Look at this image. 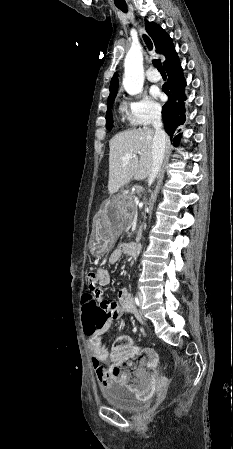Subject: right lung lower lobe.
<instances>
[{
	"label": "right lung lower lobe",
	"instance_id": "right-lung-lower-lobe-1",
	"mask_svg": "<svg viewBox=\"0 0 233 449\" xmlns=\"http://www.w3.org/2000/svg\"><path fill=\"white\" fill-rule=\"evenodd\" d=\"M165 69L168 80L163 90L168 95L169 100L162 108V118L165 131L170 135L171 140L173 139L174 145H177L180 141L181 133L174 137L173 135L186 120L184 103L186 100L184 95L186 81L179 60Z\"/></svg>",
	"mask_w": 233,
	"mask_h": 449
}]
</instances>
